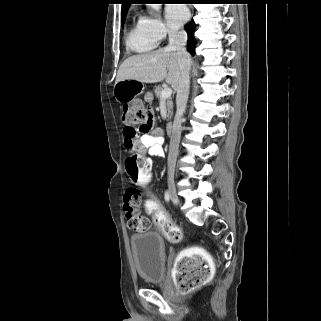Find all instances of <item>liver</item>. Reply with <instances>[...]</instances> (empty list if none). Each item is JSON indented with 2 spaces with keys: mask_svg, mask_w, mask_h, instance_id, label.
I'll use <instances>...</instances> for the list:
<instances>
[{
  "mask_svg": "<svg viewBox=\"0 0 321 321\" xmlns=\"http://www.w3.org/2000/svg\"><path fill=\"white\" fill-rule=\"evenodd\" d=\"M180 76V58L177 52L165 47L127 58L118 70L116 83L123 80L158 83L165 79L176 90Z\"/></svg>",
  "mask_w": 321,
  "mask_h": 321,
  "instance_id": "liver-1",
  "label": "liver"
}]
</instances>
